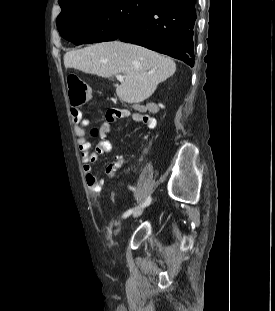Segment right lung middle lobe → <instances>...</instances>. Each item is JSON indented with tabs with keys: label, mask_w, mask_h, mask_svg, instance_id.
Wrapping results in <instances>:
<instances>
[{
	"label": "right lung middle lobe",
	"mask_w": 275,
	"mask_h": 311,
	"mask_svg": "<svg viewBox=\"0 0 275 311\" xmlns=\"http://www.w3.org/2000/svg\"><path fill=\"white\" fill-rule=\"evenodd\" d=\"M159 0H71L61 6L56 24L74 44L115 40L135 18Z\"/></svg>",
	"instance_id": "right-lung-middle-lobe-1"
}]
</instances>
